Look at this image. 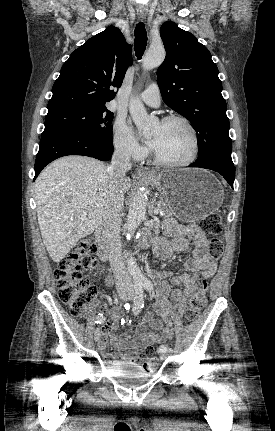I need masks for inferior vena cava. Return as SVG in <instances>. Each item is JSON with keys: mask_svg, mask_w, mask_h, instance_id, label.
Instances as JSON below:
<instances>
[{"mask_svg": "<svg viewBox=\"0 0 275 431\" xmlns=\"http://www.w3.org/2000/svg\"><path fill=\"white\" fill-rule=\"evenodd\" d=\"M131 169L130 154L125 149H116L112 156L111 165L107 168L110 179V190L106 199L103 224L109 244V261L116 278L119 291H132L133 285L126 270L121 254V216L120 212L124 202V192L121 182L126 172Z\"/></svg>", "mask_w": 275, "mask_h": 431, "instance_id": "602c4592", "label": "inferior vena cava"}]
</instances>
